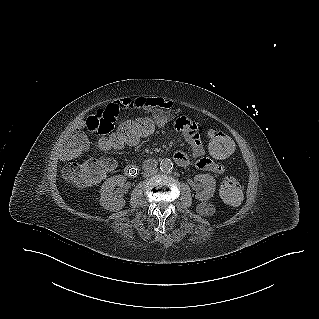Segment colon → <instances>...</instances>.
<instances>
[{"label": "colon", "mask_w": 319, "mask_h": 319, "mask_svg": "<svg viewBox=\"0 0 319 319\" xmlns=\"http://www.w3.org/2000/svg\"><path fill=\"white\" fill-rule=\"evenodd\" d=\"M168 128L169 121L161 113H154L148 118L142 117L139 121L124 123L109 135L100 134L101 139L92 142L88 148L91 160L83 164L69 163L65 167V175L78 187L98 181L114 169V158H120L137 149L140 144H146L161 137ZM87 144V138L83 132L74 133L66 141L62 149V157L66 160L76 158ZM204 147L213 159L219 161L231 158L235 152L233 139L221 130L210 132L204 140ZM221 195L228 203H239L242 198L239 180L233 176L226 177L221 185Z\"/></svg>", "instance_id": "5ec220e1"}]
</instances>
